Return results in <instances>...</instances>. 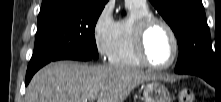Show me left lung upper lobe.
<instances>
[{
  "mask_svg": "<svg viewBox=\"0 0 221 102\" xmlns=\"http://www.w3.org/2000/svg\"><path fill=\"white\" fill-rule=\"evenodd\" d=\"M172 28L179 46L175 71L198 69L217 76L221 58L212 50L202 0H150Z\"/></svg>",
  "mask_w": 221,
  "mask_h": 102,
  "instance_id": "obj_1",
  "label": "left lung upper lobe"
}]
</instances>
